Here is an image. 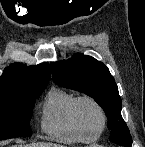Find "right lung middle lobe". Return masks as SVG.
Instances as JSON below:
<instances>
[{
  "mask_svg": "<svg viewBox=\"0 0 145 147\" xmlns=\"http://www.w3.org/2000/svg\"><path fill=\"white\" fill-rule=\"evenodd\" d=\"M46 87L24 88L0 94V140L29 137L35 100Z\"/></svg>",
  "mask_w": 145,
  "mask_h": 147,
  "instance_id": "obj_1",
  "label": "right lung middle lobe"
}]
</instances>
